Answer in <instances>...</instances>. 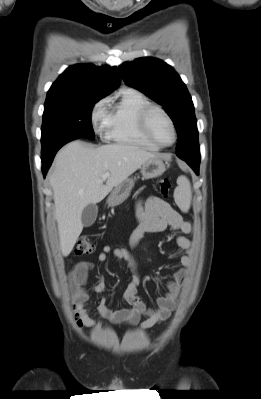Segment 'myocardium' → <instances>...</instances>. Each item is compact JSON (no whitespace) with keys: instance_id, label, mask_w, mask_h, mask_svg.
I'll use <instances>...</instances> for the list:
<instances>
[{"instance_id":"obj_1","label":"myocardium","mask_w":261,"mask_h":399,"mask_svg":"<svg viewBox=\"0 0 261 399\" xmlns=\"http://www.w3.org/2000/svg\"><path fill=\"white\" fill-rule=\"evenodd\" d=\"M154 111H158L160 113H162L165 118L168 120L172 131H173V140L171 143L169 144H163L160 143L159 141H157L151 131H150V127H149V117L151 115L152 112ZM138 125H139V129L140 132L142 133V135L149 141L151 142L153 145H155L158 148H168L171 147L172 145L175 144L176 140H177V128L175 125L174 120L172 119V117L170 116V114L161 106L159 105H155V104H149L147 106H145L139 113L138 115Z\"/></svg>"}]
</instances>
